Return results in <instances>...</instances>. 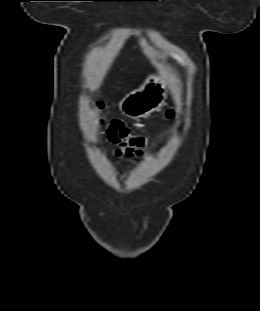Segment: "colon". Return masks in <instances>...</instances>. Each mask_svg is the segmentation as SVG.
I'll return each instance as SVG.
<instances>
[{
    "mask_svg": "<svg viewBox=\"0 0 260 311\" xmlns=\"http://www.w3.org/2000/svg\"><path fill=\"white\" fill-rule=\"evenodd\" d=\"M166 115L168 118H173L174 110L169 108ZM108 127V138L117 146L118 155L141 156L143 154L146 144L143 137L132 134L117 120L108 121Z\"/></svg>",
    "mask_w": 260,
    "mask_h": 311,
    "instance_id": "obj_1",
    "label": "colon"
}]
</instances>
